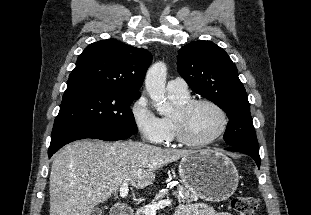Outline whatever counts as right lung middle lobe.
Listing matches in <instances>:
<instances>
[{
  "mask_svg": "<svg viewBox=\"0 0 311 215\" xmlns=\"http://www.w3.org/2000/svg\"><path fill=\"white\" fill-rule=\"evenodd\" d=\"M139 93L92 85H74L64 92L52 138L75 132L137 133L130 105Z\"/></svg>",
  "mask_w": 311,
  "mask_h": 215,
  "instance_id": "1",
  "label": "right lung middle lobe"
}]
</instances>
